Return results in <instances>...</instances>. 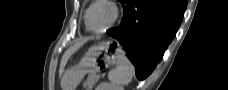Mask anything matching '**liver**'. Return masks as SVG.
<instances>
[{
	"label": "liver",
	"instance_id": "obj_1",
	"mask_svg": "<svg viewBox=\"0 0 228 90\" xmlns=\"http://www.w3.org/2000/svg\"><path fill=\"white\" fill-rule=\"evenodd\" d=\"M88 39H79L77 40L70 48H68L65 53L62 56L61 62H60V69H59V75L61 76L64 72V68L69 60V58L77 51L79 48H81ZM61 85L63 88H65L63 80L61 81Z\"/></svg>",
	"mask_w": 228,
	"mask_h": 90
}]
</instances>
